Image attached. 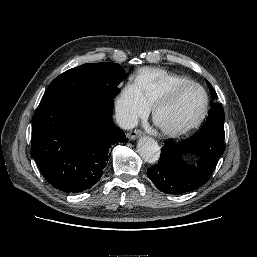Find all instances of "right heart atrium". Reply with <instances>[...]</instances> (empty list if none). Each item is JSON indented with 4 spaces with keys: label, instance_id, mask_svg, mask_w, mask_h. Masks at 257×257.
<instances>
[{
    "label": "right heart atrium",
    "instance_id": "1",
    "mask_svg": "<svg viewBox=\"0 0 257 257\" xmlns=\"http://www.w3.org/2000/svg\"><path fill=\"white\" fill-rule=\"evenodd\" d=\"M115 109L122 124L129 127L146 116L150 106L136 83L128 82L122 86L116 97Z\"/></svg>",
    "mask_w": 257,
    "mask_h": 257
}]
</instances>
